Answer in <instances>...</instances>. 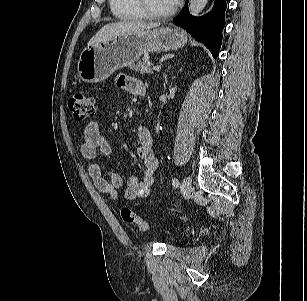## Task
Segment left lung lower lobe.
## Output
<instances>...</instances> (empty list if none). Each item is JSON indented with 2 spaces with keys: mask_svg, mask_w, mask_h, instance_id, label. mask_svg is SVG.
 I'll return each mask as SVG.
<instances>
[{
  "mask_svg": "<svg viewBox=\"0 0 307 301\" xmlns=\"http://www.w3.org/2000/svg\"><path fill=\"white\" fill-rule=\"evenodd\" d=\"M188 1L180 15L173 19V23L187 30L193 38L202 42L211 51L213 57H217L225 26V1L215 0L213 10L199 18L189 14Z\"/></svg>",
  "mask_w": 307,
  "mask_h": 301,
  "instance_id": "1",
  "label": "left lung lower lobe"
}]
</instances>
